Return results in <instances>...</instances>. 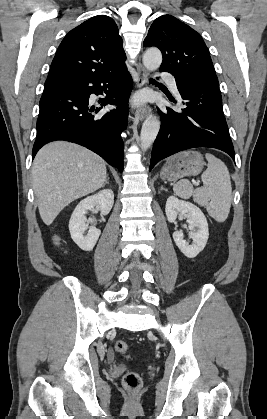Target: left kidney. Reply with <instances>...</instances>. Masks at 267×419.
I'll return each instance as SVG.
<instances>
[{"mask_svg":"<svg viewBox=\"0 0 267 419\" xmlns=\"http://www.w3.org/2000/svg\"><path fill=\"white\" fill-rule=\"evenodd\" d=\"M165 212L169 222H174L178 213L187 218L191 230L189 237L193 240V243L189 245L183 239L184 235L181 231L174 232L173 239L186 257H196L204 249L209 237L208 223L203 212L196 205L179 200L175 196H170L167 199Z\"/></svg>","mask_w":267,"mask_h":419,"instance_id":"5707ae66","label":"left kidney"}]
</instances>
